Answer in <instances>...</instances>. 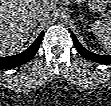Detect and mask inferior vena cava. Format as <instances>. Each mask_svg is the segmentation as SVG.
<instances>
[{"label": "inferior vena cava", "instance_id": "602c4592", "mask_svg": "<svg viewBox=\"0 0 111 106\" xmlns=\"http://www.w3.org/2000/svg\"><path fill=\"white\" fill-rule=\"evenodd\" d=\"M48 16V12L44 9H38L35 13V18L37 21H42Z\"/></svg>", "mask_w": 111, "mask_h": 106}]
</instances>
